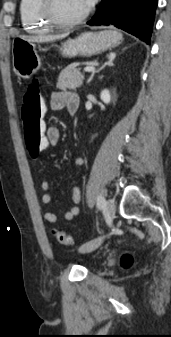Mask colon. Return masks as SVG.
<instances>
[{"mask_svg": "<svg viewBox=\"0 0 171 337\" xmlns=\"http://www.w3.org/2000/svg\"><path fill=\"white\" fill-rule=\"evenodd\" d=\"M48 101L42 100L40 88L37 80L28 84L22 103V119H23V131L25 138V146L31 156H37L47 146V141L44 138V124L45 119L42 116L48 115L47 107ZM52 235L55 240L63 245H70L72 238L64 231L53 229ZM121 262L124 266H130L133 262V258L130 254L125 253Z\"/></svg>", "mask_w": 171, "mask_h": 337, "instance_id": "colon-1", "label": "colon"}]
</instances>
